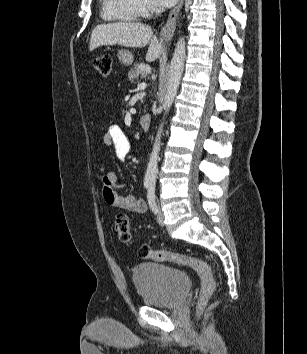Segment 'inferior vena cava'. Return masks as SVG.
<instances>
[{"label":"inferior vena cava","instance_id":"1","mask_svg":"<svg viewBox=\"0 0 307 354\" xmlns=\"http://www.w3.org/2000/svg\"><path fill=\"white\" fill-rule=\"evenodd\" d=\"M156 15H159L161 13V9L156 8L155 10Z\"/></svg>","mask_w":307,"mask_h":354}]
</instances>
